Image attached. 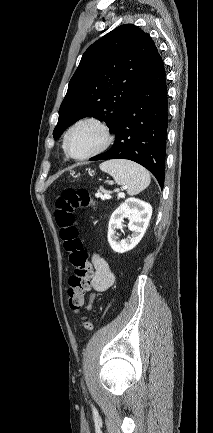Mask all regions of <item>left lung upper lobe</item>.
Segmentation results:
<instances>
[{
	"instance_id": "left-lung-upper-lobe-1",
	"label": "left lung upper lobe",
	"mask_w": 213,
	"mask_h": 433,
	"mask_svg": "<svg viewBox=\"0 0 213 433\" xmlns=\"http://www.w3.org/2000/svg\"><path fill=\"white\" fill-rule=\"evenodd\" d=\"M158 55L149 34L133 24L121 25L93 43L69 82L54 138L88 116L98 117L113 132Z\"/></svg>"
}]
</instances>
